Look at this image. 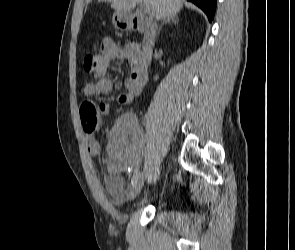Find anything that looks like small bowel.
Returning <instances> with one entry per match:
<instances>
[{"label": "small bowel", "mask_w": 295, "mask_h": 250, "mask_svg": "<svg viewBox=\"0 0 295 250\" xmlns=\"http://www.w3.org/2000/svg\"><path fill=\"white\" fill-rule=\"evenodd\" d=\"M140 53L136 44L119 47L113 40L104 39L101 43L100 53L96 55L98 68L95 72V80L83 87L82 95L93 97L108 94L113 88L112 81L107 76L110 64L116 60H127L133 70L125 82L126 91L117 96V102L121 105L132 103L141 94L146 83L141 81L135 73ZM100 111L103 116H108L109 105L101 104ZM85 145L90 155L99 154L100 144L92 135L85 134ZM142 147V132L137 118L131 113L119 117L110 132L108 152L111 157V165L106 177V185L117 200L124 199L127 190L125 180L117 173L116 169L126 162L136 164L140 160Z\"/></svg>", "instance_id": "1"}]
</instances>
